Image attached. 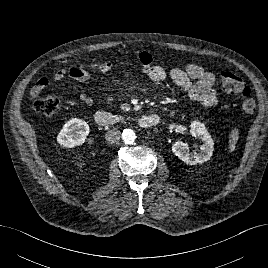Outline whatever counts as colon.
<instances>
[{
  "label": "colon",
  "mask_w": 268,
  "mask_h": 268,
  "mask_svg": "<svg viewBox=\"0 0 268 268\" xmlns=\"http://www.w3.org/2000/svg\"><path fill=\"white\" fill-rule=\"evenodd\" d=\"M223 89L231 94L239 95L242 98V107L248 114L256 111V101L252 97L251 88L236 74L223 70L220 73ZM60 107V101L56 96L47 95L33 101L32 108L35 112L44 117H52Z\"/></svg>",
  "instance_id": "5ec220e1"
}]
</instances>
